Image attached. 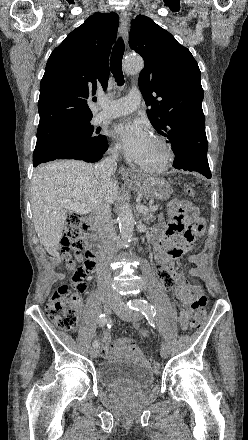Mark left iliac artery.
<instances>
[{"mask_svg": "<svg viewBox=\"0 0 248 440\" xmlns=\"http://www.w3.org/2000/svg\"><path fill=\"white\" fill-rule=\"evenodd\" d=\"M127 306L132 310L141 311L149 321H153L156 317V309L144 299L128 301Z\"/></svg>", "mask_w": 248, "mask_h": 440, "instance_id": "1", "label": "left iliac artery"}]
</instances>
